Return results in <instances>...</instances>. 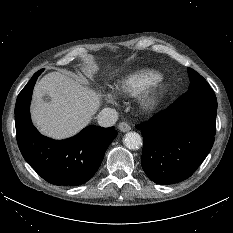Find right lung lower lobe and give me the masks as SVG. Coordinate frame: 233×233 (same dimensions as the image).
Instances as JSON below:
<instances>
[{"mask_svg": "<svg viewBox=\"0 0 233 233\" xmlns=\"http://www.w3.org/2000/svg\"><path fill=\"white\" fill-rule=\"evenodd\" d=\"M36 72L19 93L15 105L16 138L26 162L47 182L76 186L87 182L101 165L106 149L117 136L114 127L88 126L76 136L55 141L41 135L30 118Z\"/></svg>", "mask_w": 233, "mask_h": 233, "instance_id": "1", "label": "right lung lower lobe"}]
</instances>
